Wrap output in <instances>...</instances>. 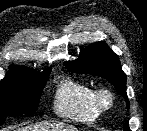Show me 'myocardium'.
Segmentation results:
<instances>
[{
    "label": "myocardium",
    "instance_id": "obj_1",
    "mask_svg": "<svg viewBox=\"0 0 147 131\" xmlns=\"http://www.w3.org/2000/svg\"><path fill=\"white\" fill-rule=\"evenodd\" d=\"M94 102L99 112H106L113 107L115 96L110 89L100 88L95 90Z\"/></svg>",
    "mask_w": 147,
    "mask_h": 131
}]
</instances>
